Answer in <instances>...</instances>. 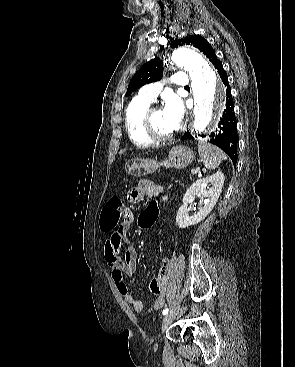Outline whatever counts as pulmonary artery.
<instances>
[{"mask_svg": "<svg viewBox=\"0 0 295 367\" xmlns=\"http://www.w3.org/2000/svg\"><path fill=\"white\" fill-rule=\"evenodd\" d=\"M171 81L173 84L186 87L189 86V79L185 72L179 71L172 75ZM162 88L161 83H151L145 85L139 90L138 96L142 99L148 100L150 102L154 101L158 96L160 90Z\"/></svg>", "mask_w": 295, "mask_h": 367, "instance_id": "obj_1", "label": "pulmonary artery"}]
</instances>
